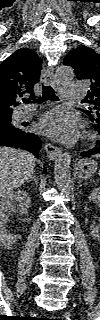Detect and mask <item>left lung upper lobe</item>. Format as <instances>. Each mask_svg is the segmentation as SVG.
Here are the masks:
<instances>
[{"instance_id": "1", "label": "left lung upper lobe", "mask_w": 100, "mask_h": 320, "mask_svg": "<svg viewBox=\"0 0 100 320\" xmlns=\"http://www.w3.org/2000/svg\"><path fill=\"white\" fill-rule=\"evenodd\" d=\"M64 65L72 66L79 80L91 83L86 97L91 106L81 111L93 120H100V56L91 48L80 46L67 54Z\"/></svg>"}]
</instances>
